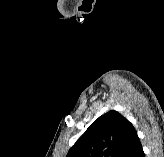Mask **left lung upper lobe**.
<instances>
[{"instance_id":"obj_1","label":"left lung upper lobe","mask_w":164,"mask_h":157,"mask_svg":"<svg viewBox=\"0 0 164 157\" xmlns=\"http://www.w3.org/2000/svg\"><path fill=\"white\" fill-rule=\"evenodd\" d=\"M135 134L133 125L111 110L88 127L66 157H121Z\"/></svg>"}]
</instances>
